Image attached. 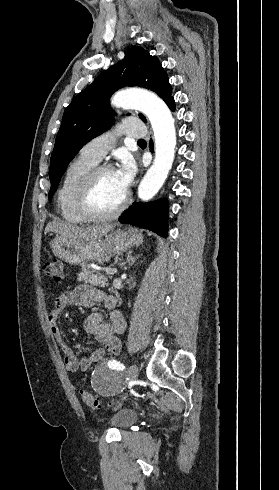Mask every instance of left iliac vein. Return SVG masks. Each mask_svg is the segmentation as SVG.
Masks as SVG:
<instances>
[{
	"label": "left iliac vein",
	"mask_w": 279,
	"mask_h": 490,
	"mask_svg": "<svg viewBox=\"0 0 279 490\" xmlns=\"http://www.w3.org/2000/svg\"><path fill=\"white\" fill-rule=\"evenodd\" d=\"M128 377L132 380H136L138 378V368L136 365H130L127 371Z\"/></svg>",
	"instance_id": "1"
}]
</instances>
